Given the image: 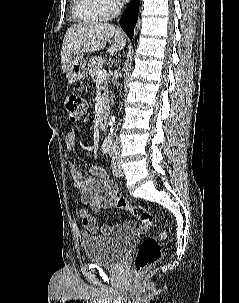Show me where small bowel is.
<instances>
[{
  "mask_svg": "<svg viewBox=\"0 0 239 303\" xmlns=\"http://www.w3.org/2000/svg\"><path fill=\"white\" fill-rule=\"evenodd\" d=\"M78 142L77 133L75 130L70 131L65 137V146L68 151H73ZM70 175L75 187L81 191V202L89 204L91 208L99 212L105 208H111L113 205L107 198H100L99 195L107 192L108 196L114 194L117 190L116 184L111 180L107 171L100 165L90 166L88 171L90 177H83L82 172L76 164L71 163L69 166ZM82 222L90 233L121 234L125 231L135 230V224L132 221H127L124 226L119 224L109 225L105 224L101 227L98 225L96 218L91 216L87 209L80 211Z\"/></svg>",
  "mask_w": 239,
  "mask_h": 303,
  "instance_id": "small-bowel-1",
  "label": "small bowel"
}]
</instances>
